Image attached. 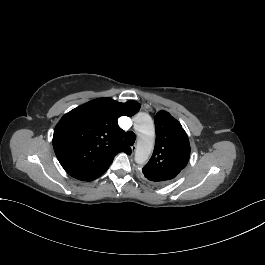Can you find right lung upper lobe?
I'll list each match as a JSON object with an SVG mask.
<instances>
[{
    "instance_id": "obj_1",
    "label": "right lung upper lobe",
    "mask_w": 265,
    "mask_h": 265,
    "mask_svg": "<svg viewBox=\"0 0 265 265\" xmlns=\"http://www.w3.org/2000/svg\"><path fill=\"white\" fill-rule=\"evenodd\" d=\"M139 109L135 101L98 98L65 114L53 135L54 151L64 170L76 179L92 181L109 168L119 152L130 155L117 119L133 116Z\"/></svg>"
}]
</instances>
